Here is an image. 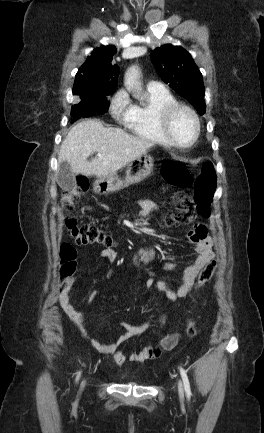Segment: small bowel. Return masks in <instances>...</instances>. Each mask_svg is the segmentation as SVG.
I'll return each mask as SVG.
<instances>
[{
  "mask_svg": "<svg viewBox=\"0 0 264 433\" xmlns=\"http://www.w3.org/2000/svg\"><path fill=\"white\" fill-rule=\"evenodd\" d=\"M139 205L144 215L158 208L157 203L151 200H143L139 203ZM188 238L195 245L196 258L191 265L184 269L182 282L177 291H172L169 289L167 284L162 280H154L151 277L144 276H136L135 279L143 281L147 288L155 287L162 291L171 301H176L187 296L194 285L197 275L213 257L211 240L208 237L207 229L203 224L195 225L189 231ZM100 256L101 259L109 261H114L117 258V254L112 246L106 247L101 252ZM166 268L173 269V266L166 265ZM74 284L75 280L69 281L59 294V303L64 313L76 326L79 333L85 340H87L99 352L113 355L115 361L118 364L121 365L125 363L126 360L134 363H142L146 360L158 359L164 352L171 350L177 345L179 341V334L174 332L168 334L155 344L142 348L138 352L125 353L122 351L120 348L121 345L131 338L147 332L152 326L151 321H147L141 325H131L125 322L120 323L119 326L124 332L114 342L102 343L90 338L84 327V312L77 309L71 302L70 291ZM95 294L96 291L93 289L89 295V300L91 302L94 300Z\"/></svg>",
  "mask_w": 264,
  "mask_h": 433,
  "instance_id": "1",
  "label": "small bowel"
}]
</instances>
